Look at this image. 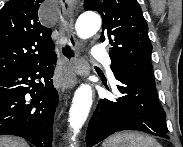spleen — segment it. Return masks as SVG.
I'll list each match as a JSON object with an SVG mask.
<instances>
[{
  "label": "spleen",
  "instance_id": "3e777b00",
  "mask_svg": "<svg viewBox=\"0 0 183 147\" xmlns=\"http://www.w3.org/2000/svg\"><path fill=\"white\" fill-rule=\"evenodd\" d=\"M102 147H161L151 136L138 132H119L105 140Z\"/></svg>",
  "mask_w": 183,
  "mask_h": 147
}]
</instances>
